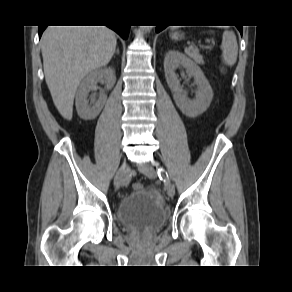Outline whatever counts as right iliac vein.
<instances>
[{
  "mask_svg": "<svg viewBox=\"0 0 292 292\" xmlns=\"http://www.w3.org/2000/svg\"><path fill=\"white\" fill-rule=\"evenodd\" d=\"M129 173V167L127 162H124L121 167L118 169L115 178L114 185L115 187H120L126 184L127 175Z\"/></svg>",
  "mask_w": 292,
  "mask_h": 292,
  "instance_id": "right-iliac-vein-1",
  "label": "right iliac vein"
}]
</instances>
